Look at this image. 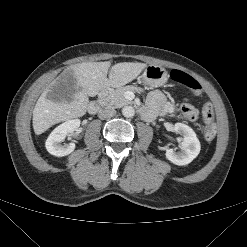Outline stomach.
I'll return each instance as SVG.
<instances>
[{
  "mask_svg": "<svg viewBox=\"0 0 247 247\" xmlns=\"http://www.w3.org/2000/svg\"><path fill=\"white\" fill-rule=\"evenodd\" d=\"M140 79L151 87H160L167 82L168 73L163 67L148 65L144 69Z\"/></svg>",
  "mask_w": 247,
  "mask_h": 247,
  "instance_id": "1",
  "label": "stomach"
}]
</instances>
